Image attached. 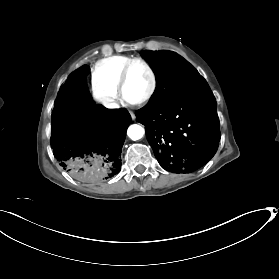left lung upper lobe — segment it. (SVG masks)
Here are the masks:
<instances>
[{
  "label": "left lung upper lobe",
  "mask_w": 279,
  "mask_h": 279,
  "mask_svg": "<svg viewBox=\"0 0 279 279\" xmlns=\"http://www.w3.org/2000/svg\"><path fill=\"white\" fill-rule=\"evenodd\" d=\"M141 56L151 64L156 74L155 92L144 109L159 108L204 81L189 62L173 52L143 51Z\"/></svg>",
  "instance_id": "5c2ea615"
}]
</instances>
